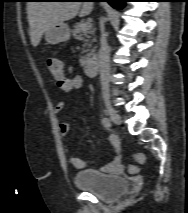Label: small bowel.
<instances>
[{"label":"small bowel","mask_w":188,"mask_h":213,"mask_svg":"<svg viewBox=\"0 0 188 213\" xmlns=\"http://www.w3.org/2000/svg\"><path fill=\"white\" fill-rule=\"evenodd\" d=\"M83 78L81 76H70L67 77L63 74V76L59 79H57L58 87L68 93L73 90L79 89L83 86ZM65 108V103L63 101H59L55 106V112L57 114H60L63 112ZM70 129V123L68 120H62L59 123V131L63 136H66ZM109 141L111 145L115 148L116 156L114 159L107 164L106 166L102 167L101 170L106 173H115L121 170V156H120V142L116 136H110ZM72 146H67L66 151L70 152L72 151ZM70 164L77 169L85 168L88 165V162L80 159L78 157H69Z\"/></svg>","instance_id":"obj_1"}]
</instances>
